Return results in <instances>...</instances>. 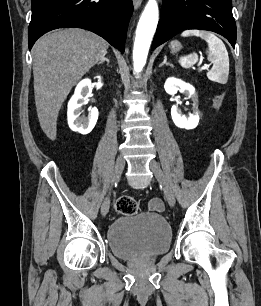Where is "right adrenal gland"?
<instances>
[{"instance_id": "1", "label": "right adrenal gland", "mask_w": 261, "mask_h": 306, "mask_svg": "<svg viewBox=\"0 0 261 306\" xmlns=\"http://www.w3.org/2000/svg\"><path fill=\"white\" fill-rule=\"evenodd\" d=\"M105 61H106L107 64L109 65V59H108V58H105V57H104L100 62H98L97 65H100V64L104 63Z\"/></svg>"}]
</instances>
